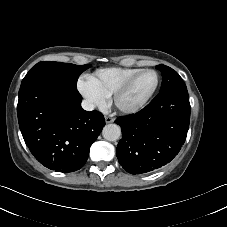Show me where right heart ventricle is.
<instances>
[{"label":"right heart ventricle","mask_w":227,"mask_h":227,"mask_svg":"<svg viewBox=\"0 0 227 227\" xmlns=\"http://www.w3.org/2000/svg\"><path fill=\"white\" fill-rule=\"evenodd\" d=\"M141 68H104L89 76L88 80L107 97Z\"/></svg>","instance_id":"obj_1"}]
</instances>
